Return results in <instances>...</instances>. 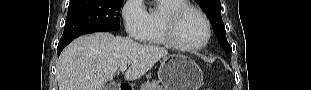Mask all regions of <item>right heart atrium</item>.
<instances>
[{
  "label": "right heart atrium",
  "mask_w": 311,
  "mask_h": 90,
  "mask_svg": "<svg viewBox=\"0 0 311 90\" xmlns=\"http://www.w3.org/2000/svg\"><path fill=\"white\" fill-rule=\"evenodd\" d=\"M122 17L129 38L143 40L148 25V12L142 0H128L123 6Z\"/></svg>",
  "instance_id": "1"
}]
</instances>
